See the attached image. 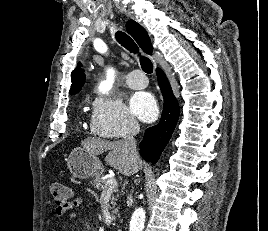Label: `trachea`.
Masks as SVG:
<instances>
[{
  "label": "trachea",
  "mask_w": 268,
  "mask_h": 231,
  "mask_svg": "<svg viewBox=\"0 0 268 231\" xmlns=\"http://www.w3.org/2000/svg\"><path fill=\"white\" fill-rule=\"evenodd\" d=\"M115 38L116 40L123 46L125 47L127 50H129L131 53H138V46L137 44L133 41V39L128 36L126 33L118 31L115 34ZM140 64H141V68L144 72L146 73H152L153 71V64L152 62L144 57L141 56L140 57Z\"/></svg>",
  "instance_id": "obj_1"
}]
</instances>
